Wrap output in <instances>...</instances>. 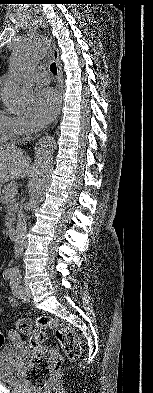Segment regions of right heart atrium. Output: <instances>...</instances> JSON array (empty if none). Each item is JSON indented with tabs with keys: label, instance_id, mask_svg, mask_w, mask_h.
<instances>
[{
	"label": "right heart atrium",
	"instance_id": "obj_1",
	"mask_svg": "<svg viewBox=\"0 0 153 393\" xmlns=\"http://www.w3.org/2000/svg\"><path fill=\"white\" fill-rule=\"evenodd\" d=\"M17 121V137L30 136L36 131L35 123L26 117H16Z\"/></svg>",
	"mask_w": 153,
	"mask_h": 393
}]
</instances>
